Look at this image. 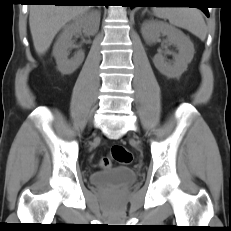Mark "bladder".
Returning a JSON list of instances; mask_svg holds the SVG:
<instances>
[{
    "label": "bladder",
    "instance_id": "obj_1",
    "mask_svg": "<svg viewBox=\"0 0 231 231\" xmlns=\"http://www.w3.org/2000/svg\"><path fill=\"white\" fill-rule=\"evenodd\" d=\"M90 183L97 188L122 189L136 183L137 174L130 168H114L89 175Z\"/></svg>",
    "mask_w": 231,
    "mask_h": 231
}]
</instances>
